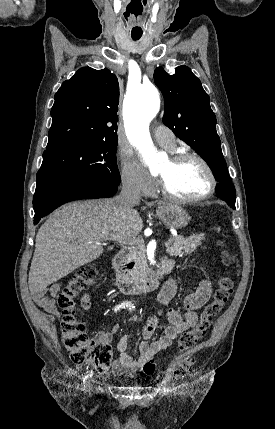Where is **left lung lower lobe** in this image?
<instances>
[{"mask_svg":"<svg viewBox=\"0 0 275 429\" xmlns=\"http://www.w3.org/2000/svg\"><path fill=\"white\" fill-rule=\"evenodd\" d=\"M216 194L219 196V198L221 199V200H223V192H222V187H217L216 188ZM233 209H235V207H232Z\"/></svg>","mask_w":275,"mask_h":429,"instance_id":"0a47b994","label":"left lung lower lobe"}]
</instances>
